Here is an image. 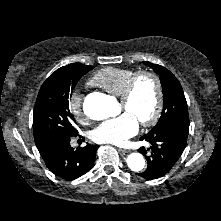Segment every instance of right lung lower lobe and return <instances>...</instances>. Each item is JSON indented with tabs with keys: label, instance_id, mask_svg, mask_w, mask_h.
Listing matches in <instances>:
<instances>
[{
	"label": "right lung lower lobe",
	"instance_id": "right-lung-lower-lobe-1",
	"mask_svg": "<svg viewBox=\"0 0 221 221\" xmlns=\"http://www.w3.org/2000/svg\"><path fill=\"white\" fill-rule=\"evenodd\" d=\"M71 137L49 136L35 141L48 169L65 180L84 175L92 168L96 157L97 145L87 143L75 150L70 146Z\"/></svg>",
	"mask_w": 221,
	"mask_h": 221
}]
</instances>
